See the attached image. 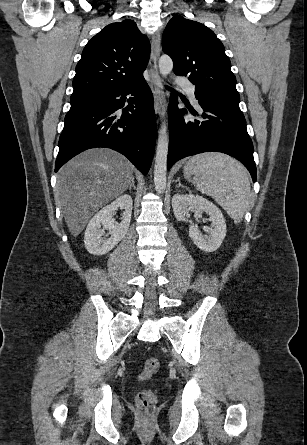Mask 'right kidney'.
<instances>
[{"instance_id":"obj_1","label":"right kidney","mask_w":307,"mask_h":445,"mask_svg":"<svg viewBox=\"0 0 307 445\" xmlns=\"http://www.w3.org/2000/svg\"><path fill=\"white\" fill-rule=\"evenodd\" d=\"M132 202L130 194H122L111 204H107L97 214H94L93 218L89 220L84 237L88 253H91V255H105V253L112 251L119 241H122L129 229ZM117 206L124 208L121 223H116L115 218H112V212L116 210ZM105 229L110 231L109 235L111 237L109 239L103 237Z\"/></svg>"}]
</instances>
